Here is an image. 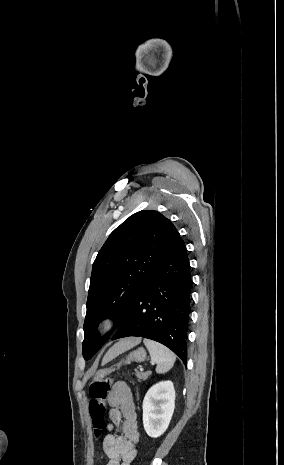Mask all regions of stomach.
<instances>
[{
	"instance_id": "0dacf381",
	"label": "stomach",
	"mask_w": 284,
	"mask_h": 465,
	"mask_svg": "<svg viewBox=\"0 0 284 465\" xmlns=\"http://www.w3.org/2000/svg\"><path fill=\"white\" fill-rule=\"evenodd\" d=\"M131 361H135V363H143V361H146L145 349H143V347H139L137 351H132L126 359H123V361H120L117 365H113L111 369H100V371H97L94 381H101V379H105L106 375H109L112 371H116V369H119L121 365H130Z\"/></svg>"
}]
</instances>
